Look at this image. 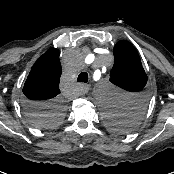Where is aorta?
<instances>
[{
  "mask_svg": "<svg viewBox=\"0 0 174 174\" xmlns=\"http://www.w3.org/2000/svg\"><path fill=\"white\" fill-rule=\"evenodd\" d=\"M114 90L109 85H100L97 90V98L102 109L107 112V114L118 113V111L109 109L114 108Z\"/></svg>",
  "mask_w": 174,
  "mask_h": 174,
  "instance_id": "obj_1",
  "label": "aorta"
}]
</instances>
